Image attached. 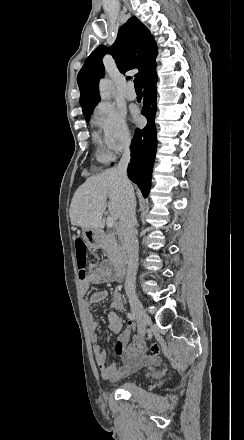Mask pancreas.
<instances>
[{
	"label": "pancreas",
	"mask_w": 244,
	"mask_h": 440,
	"mask_svg": "<svg viewBox=\"0 0 244 440\" xmlns=\"http://www.w3.org/2000/svg\"><path fill=\"white\" fill-rule=\"evenodd\" d=\"M102 244L101 248L104 254H107L112 264H118L121 260V250L122 246L119 244V234L118 232H113V234H104L101 232Z\"/></svg>",
	"instance_id": "1"
}]
</instances>
